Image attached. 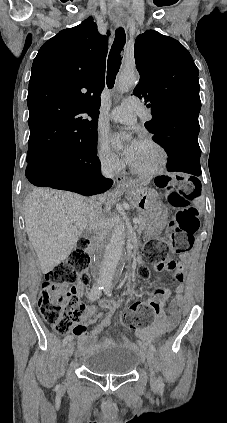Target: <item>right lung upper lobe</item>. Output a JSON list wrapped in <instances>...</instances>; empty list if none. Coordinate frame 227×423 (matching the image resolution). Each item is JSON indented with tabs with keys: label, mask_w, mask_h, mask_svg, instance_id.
Returning a JSON list of instances; mask_svg holds the SVG:
<instances>
[{
	"label": "right lung upper lobe",
	"mask_w": 227,
	"mask_h": 423,
	"mask_svg": "<svg viewBox=\"0 0 227 423\" xmlns=\"http://www.w3.org/2000/svg\"><path fill=\"white\" fill-rule=\"evenodd\" d=\"M106 36L92 18L60 31L34 59L27 105L28 155L57 150L97 133Z\"/></svg>",
	"instance_id": "1"
}]
</instances>
